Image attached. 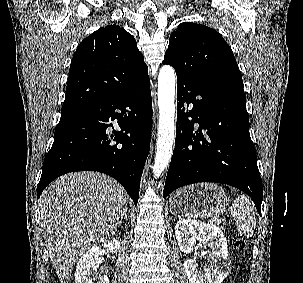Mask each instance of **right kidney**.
I'll return each instance as SVG.
<instances>
[{"instance_id":"1","label":"right kidney","mask_w":303,"mask_h":283,"mask_svg":"<svg viewBox=\"0 0 303 283\" xmlns=\"http://www.w3.org/2000/svg\"><path fill=\"white\" fill-rule=\"evenodd\" d=\"M112 253H116L120 248V242L117 239H113L102 245ZM101 255V248L98 246L92 247L88 250L78 261L75 282L76 283H94L91 278L92 271L96 270L99 264V256ZM98 283H109V278L104 275L100 278Z\"/></svg>"}]
</instances>
